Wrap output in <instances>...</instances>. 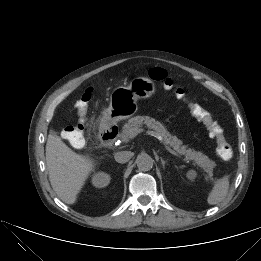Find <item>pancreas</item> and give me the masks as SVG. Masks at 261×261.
<instances>
[{
	"label": "pancreas",
	"instance_id": "1",
	"mask_svg": "<svg viewBox=\"0 0 261 261\" xmlns=\"http://www.w3.org/2000/svg\"><path fill=\"white\" fill-rule=\"evenodd\" d=\"M143 124L146 125L147 128L154 130L155 134L163 139L165 145L172 147L178 154L184 155L186 160H193L200 166L207 173L205 177L206 180L212 179L213 168L216 166V163L203 153L183 146L181 140L170 134L159 121L153 118L148 116H135L130 118L122 129L121 137L123 140L126 141L128 139V133L131 129L138 128Z\"/></svg>",
	"mask_w": 261,
	"mask_h": 261
}]
</instances>
